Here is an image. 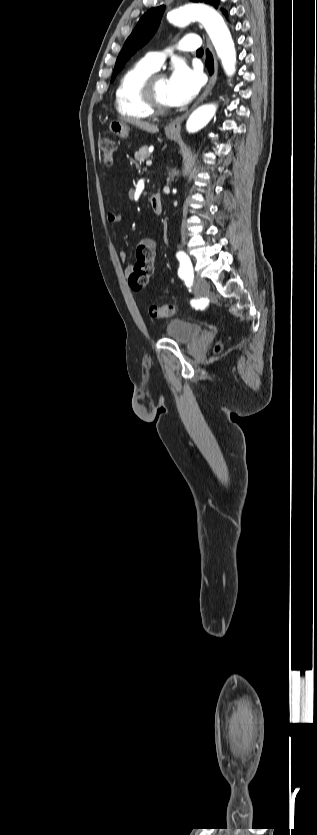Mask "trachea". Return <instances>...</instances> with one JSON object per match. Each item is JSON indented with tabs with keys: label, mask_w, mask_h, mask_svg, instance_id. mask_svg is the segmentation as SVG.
Returning a JSON list of instances; mask_svg holds the SVG:
<instances>
[{
	"label": "trachea",
	"mask_w": 317,
	"mask_h": 835,
	"mask_svg": "<svg viewBox=\"0 0 317 835\" xmlns=\"http://www.w3.org/2000/svg\"><path fill=\"white\" fill-rule=\"evenodd\" d=\"M203 52H204V51H203V49H198V50L196 51V54H197V55H202V54H203Z\"/></svg>",
	"instance_id": "3493384b"
}]
</instances>
